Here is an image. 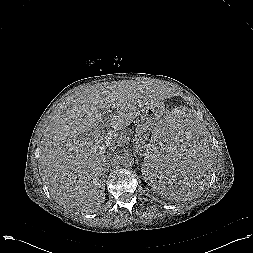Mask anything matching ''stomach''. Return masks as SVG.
I'll return each instance as SVG.
<instances>
[{"label": "stomach", "instance_id": "0dacf381", "mask_svg": "<svg viewBox=\"0 0 253 253\" xmlns=\"http://www.w3.org/2000/svg\"><path fill=\"white\" fill-rule=\"evenodd\" d=\"M157 104H154L148 108H146L141 114V120L143 123L148 125L149 127H154V125L160 121L162 117V109L157 107Z\"/></svg>", "mask_w": 253, "mask_h": 253}]
</instances>
